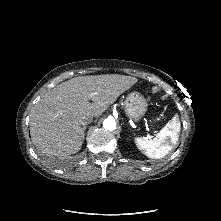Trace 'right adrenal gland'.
I'll list each match as a JSON object with an SVG mask.
<instances>
[{
	"label": "right adrenal gland",
	"mask_w": 221,
	"mask_h": 221,
	"mask_svg": "<svg viewBox=\"0 0 221 221\" xmlns=\"http://www.w3.org/2000/svg\"><path fill=\"white\" fill-rule=\"evenodd\" d=\"M85 130H86V126L83 127V140H84V136H85Z\"/></svg>",
	"instance_id": "obj_1"
}]
</instances>
